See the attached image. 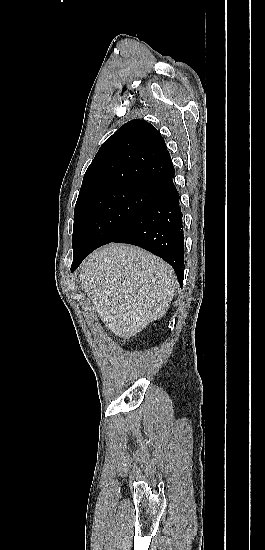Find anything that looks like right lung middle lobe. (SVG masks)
Masks as SVG:
<instances>
[{"mask_svg":"<svg viewBox=\"0 0 265 550\" xmlns=\"http://www.w3.org/2000/svg\"><path fill=\"white\" fill-rule=\"evenodd\" d=\"M159 185L122 187L76 202L73 263L111 242L148 207Z\"/></svg>","mask_w":265,"mask_h":550,"instance_id":"right-lung-middle-lobe-1","label":"right lung middle lobe"}]
</instances>
